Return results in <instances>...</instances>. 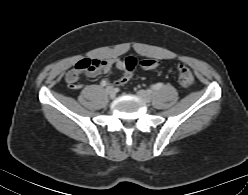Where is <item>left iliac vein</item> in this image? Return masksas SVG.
<instances>
[{
  "instance_id": "4c4485c4",
  "label": "left iliac vein",
  "mask_w": 248,
  "mask_h": 195,
  "mask_svg": "<svg viewBox=\"0 0 248 195\" xmlns=\"http://www.w3.org/2000/svg\"><path fill=\"white\" fill-rule=\"evenodd\" d=\"M137 95L141 97L145 102H150L151 101V95L148 91L146 90H139L137 92Z\"/></svg>"
}]
</instances>
